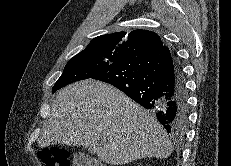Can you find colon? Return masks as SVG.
<instances>
[{"instance_id":"obj_1","label":"colon","mask_w":231,"mask_h":166,"mask_svg":"<svg viewBox=\"0 0 231 166\" xmlns=\"http://www.w3.org/2000/svg\"><path fill=\"white\" fill-rule=\"evenodd\" d=\"M39 158L44 166H70V155L66 150L61 148H49L39 152ZM82 166H101L91 162Z\"/></svg>"}]
</instances>
